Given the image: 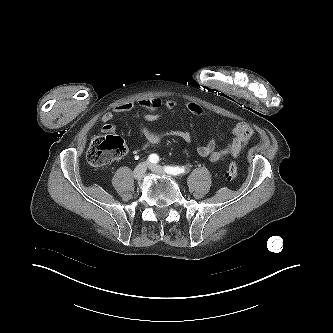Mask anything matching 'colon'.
Segmentation results:
<instances>
[{"label": "colon", "mask_w": 333, "mask_h": 333, "mask_svg": "<svg viewBox=\"0 0 333 333\" xmlns=\"http://www.w3.org/2000/svg\"><path fill=\"white\" fill-rule=\"evenodd\" d=\"M125 153L126 147L121 138L113 135L97 136L92 139L86 153V158L91 165L101 167L120 159ZM237 175V165L232 161L229 164L226 177L228 180H232Z\"/></svg>", "instance_id": "obj_1"}]
</instances>
